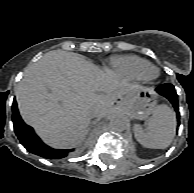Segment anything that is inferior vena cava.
<instances>
[{"label": "inferior vena cava", "mask_w": 194, "mask_h": 193, "mask_svg": "<svg viewBox=\"0 0 194 193\" xmlns=\"http://www.w3.org/2000/svg\"><path fill=\"white\" fill-rule=\"evenodd\" d=\"M88 113L91 120H96L98 118L99 110L98 108H89Z\"/></svg>", "instance_id": "inferior-vena-cava-1"}]
</instances>
